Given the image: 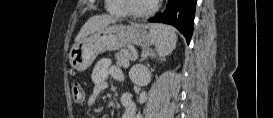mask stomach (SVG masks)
<instances>
[{"label": "stomach", "instance_id": "0dacf381", "mask_svg": "<svg viewBox=\"0 0 273 118\" xmlns=\"http://www.w3.org/2000/svg\"><path fill=\"white\" fill-rule=\"evenodd\" d=\"M151 34L141 25L112 24L104 26L76 42L69 53V63L77 71L87 70L104 51L119 50L128 45L148 47Z\"/></svg>", "mask_w": 273, "mask_h": 118}]
</instances>
